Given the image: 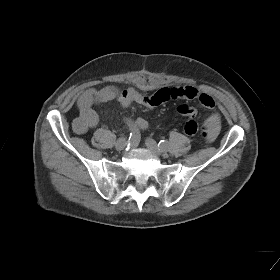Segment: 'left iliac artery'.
<instances>
[{"mask_svg":"<svg viewBox=\"0 0 280 280\" xmlns=\"http://www.w3.org/2000/svg\"><path fill=\"white\" fill-rule=\"evenodd\" d=\"M159 145L161 148H167L169 146V142L167 140H161Z\"/></svg>","mask_w":280,"mask_h":280,"instance_id":"44dca946","label":"left iliac artery"}]
</instances>
